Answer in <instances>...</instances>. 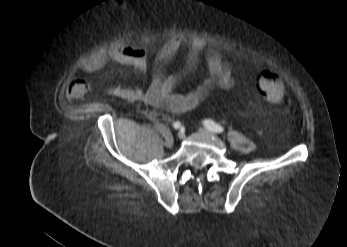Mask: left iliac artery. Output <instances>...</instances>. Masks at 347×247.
I'll return each instance as SVG.
<instances>
[{
    "mask_svg": "<svg viewBox=\"0 0 347 247\" xmlns=\"http://www.w3.org/2000/svg\"><path fill=\"white\" fill-rule=\"evenodd\" d=\"M204 126L215 133H221L224 131V128L222 126H220L212 120H205Z\"/></svg>",
    "mask_w": 347,
    "mask_h": 247,
    "instance_id": "left-iliac-artery-1",
    "label": "left iliac artery"
}]
</instances>
